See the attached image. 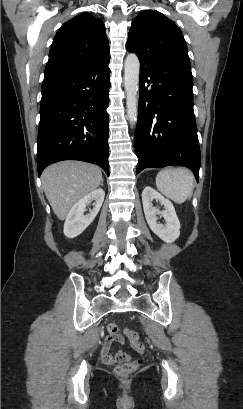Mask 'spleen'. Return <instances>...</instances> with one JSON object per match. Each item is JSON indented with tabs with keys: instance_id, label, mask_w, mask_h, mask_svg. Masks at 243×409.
<instances>
[{
	"instance_id": "1",
	"label": "spleen",
	"mask_w": 243,
	"mask_h": 409,
	"mask_svg": "<svg viewBox=\"0 0 243 409\" xmlns=\"http://www.w3.org/2000/svg\"><path fill=\"white\" fill-rule=\"evenodd\" d=\"M156 186L166 197L176 203H183L192 195L194 176L185 168L164 169L156 176Z\"/></svg>"
}]
</instances>
